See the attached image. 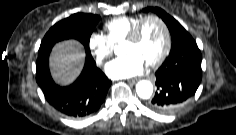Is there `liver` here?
Instances as JSON below:
<instances>
[{
	"mask_svg": "<svg viewBox=\"0 0 236 135\" xmlns=\"http://www.w3.org/2000/svg\"><path fill=\"white\" fill-rule=\"evenodd\" d=\"M85 58L82 45L75 40L58 43L51 53L50 68L55 81L61 85L72 83L79 75Z\"/></svg>",
	"mask_w": 236,
	"mask_h": 135,
	"instance_id": "obj_1",
	"label": "liver"
}]
</instances>
